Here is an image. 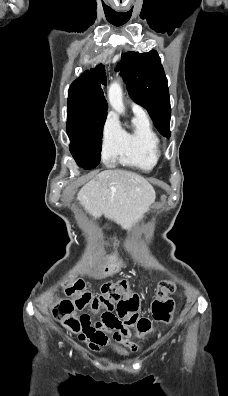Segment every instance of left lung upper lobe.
Segmentation results:
<instances>
[{
	"instance_id": "left-lung-upper-lobe-1",
	"label": "left lung upper lobe",
	"mask_w": 228,
	"mask_h": 396,
	"mask_svg": "<svg viewBox=\"0 0 228 396\" xmlns=\"http://www.w3.org/2000/svg\"><path fill=\"white\" fill-rule=\"evenodd\" d=\"M119 69L131 98L148 110L157 130L170 137L169 90L158 53L127 52L122 55Z\"/></svg>"
}]
</instances>
